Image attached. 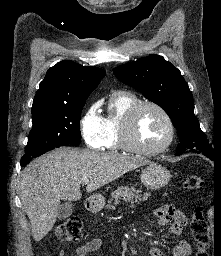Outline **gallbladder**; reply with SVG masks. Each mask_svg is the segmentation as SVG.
<instances>
[{"mask_svg":"<svg viewBox=\"0 0 221 256\" xmlns=\"http://www.w3.org/2000/svg\"><path fill=\"white\" fill-rule=\"evenodd\" d=\"M73 204L71 202H65L59 205L58 219L63 220L68 218L72 214Z\"/></svg>","mask_w":221,"mask_h":256,"instance_id":"obj_1","label":"gallbladder"}]
</instances>
